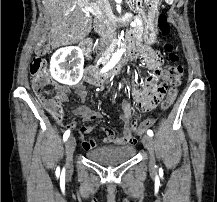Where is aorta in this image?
Here are the masks:
<instances>
[{
	"instance_id": "aorta-1",
	"label": "aorta",
	"mask_w": 217,
	"mask_h": 202,
	"mask_svg": "<svg viewBox=\"0 0 217 202\" xmlns=\"http://www.w3.org/2000/svg\"><path fill=\"white\" fill-rule=\"evenodd\" d=\"M124 52H125V50H122V48H121V50H117V52L114 56L115 62H119V60H120L121 56H123Z\"/></svg>"
}]
</instances>
